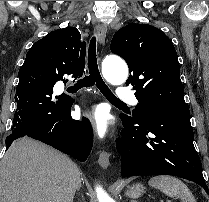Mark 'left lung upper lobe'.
Listing matches in <instances>:
<instances>
[{"label": "left lung upper lobe", "instance_id": "obj_1", "mask_svg": "<svg viewBox=\"0 0 209 202\" xmlns=\"http://www.w3.org/2000/svg\"><path fill=\"white\" fill-rule=\"evenodd\" d=\"M110 49L129 67L126 85L133 86L139 101L131 118L137 119L145 108L189 113L176 50L161 30L130 23L114 34Z\"/></svg>", "mask_w": 209, "mask_h": 202}]
</instances>
